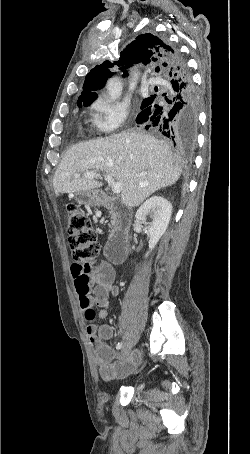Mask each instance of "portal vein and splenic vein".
I'll return each instance as SVG.
<instances>
[{"mask_svg": "<svg viewBox=\"0 0 250 454\" xmlns=\"http://www.w3.org/2000/svg\"><path fill=\"white\" fill-rule=\"evenodd\" d=\"M75 177H80V174L75 173ZM87 179H93L95 177L100 176V174L97 171H88L83 175ZM105 181L111 186L112 192L114 194H119L122 190V184L119 182H115L112 177L109 175H104Z\"/></svg>", "mask_w": 250, "mask_h": 454, "instance_id": "portal-vein-and-splenic-vein-1", "label": "portal vein and splenic vein"}]
</instances>
